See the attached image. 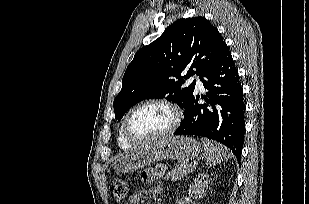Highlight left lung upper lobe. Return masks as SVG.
Here are the masks:
<instances>
[{
	"instance_id": "obj_1",
	"label": "left lung upper lobe",
	"mask_w": 309,
	"mask_h": 204,
	"mask_svg": "<svg viewBox=\"0 0 309 204\" xmlns=\"http://www.w3.org/2000/svg\"><path fill=\"white\" fill-rule=\"evenodd\" d=\"M226 47L220 33L204 17L177 20L157 40L140 49L128 65L122 89L114 99L115 118L120 120L133 105L148 98L165 97L186 109L196 81L184 87L185 79L201 76Z\"/></svg>"
}]
</instances>
